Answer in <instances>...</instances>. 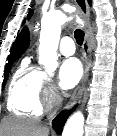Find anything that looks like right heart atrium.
Listing matches in <instances>:
<instances>
[{
  "label": "right heart atrium",
  "mask_w": 117,
  "mask_h": 136,
  "mask_svg": "<svg viewBox=\"0 0 117 136\" xmlns=\"http://www.w3.org/2000/svg\"><path fill=\"white\" fill-rule=\"evenodd\" d=\"M43 86H45L47 88L51 87V80L47 76L44 77Z\"/></svg>",
  "instance_id": "obj_1"
}]
</instances>
